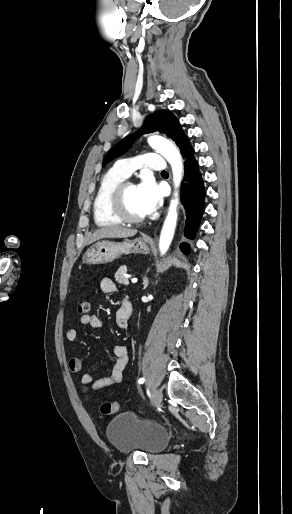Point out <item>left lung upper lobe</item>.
<instances>
[{
  "label": "left lung upper lobe",
  "mask_w": 292,
  "mask_h": 514,
  "mask_svg": "<svg viewBox=\"0 0 292 514\" xmlns=\"http://www.w3.org/2000/svg\"><path fill=\"white\" fill-rule=\"evenodd\" d=\"M152 132H161L167 137L171 138L180 148L181 154L190 144L187 135L182 130L179 121L173 115V113L166 110L157 111L146 118L142 128L139 131H137L135 134L127 136L110 149L104 158L103 166H105L114 158L119 157L125 153L137 137L142 134Z\"/></svg>",
  "instance_id": "left-lung-upper-lobe-1"
}]
</instances>
